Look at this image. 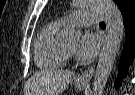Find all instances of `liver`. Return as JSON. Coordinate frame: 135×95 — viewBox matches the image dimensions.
Returning <instances> with one entry per match:
<instances>
[{
    "label": "liver",
    "instance_id": "6515ba94",
    "mask_svg": "<svg viewBox=\"0 0 135 95\" xmlns=\"http://www.w3.org/2000/svg\"><path fill=\"white\" fill-rule=\"evenodd\" d=\"M74 76L73 72L50 69L37 72L25 84V95H59Z\"/></svg>",
    "mask_w": 135,
    "mask_h": 95
}]
</instances>
